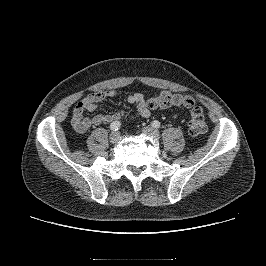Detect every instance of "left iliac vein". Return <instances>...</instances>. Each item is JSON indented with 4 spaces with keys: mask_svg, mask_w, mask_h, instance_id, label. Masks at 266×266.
Here are the masks:
<instances>
[{
    "mask_svg": "<svg viewBox=\"0 0 266 266\" xmlns=\"http://www.w3.org/2000/svg\"><path fill=\"white\" fill-rule=\"evenodd\" d=\"M142 132L145 135L150 136V137L155 138V139H159V137H160L159 131L153 127H150V126L144 127L142 129Z\"/></svg>",
    "mask_w": 266,
    "mask_h": 266,
    "instance_id": "left-iliac-vein-1",
    "label": "left iliac vein"
}]
</instances>
